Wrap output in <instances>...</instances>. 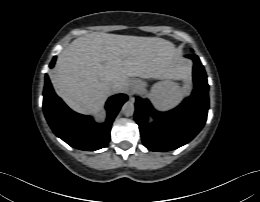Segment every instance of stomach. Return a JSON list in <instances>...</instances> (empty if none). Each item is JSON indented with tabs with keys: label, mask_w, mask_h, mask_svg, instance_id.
<instances>
[{
	"label": "stomach",
	"mask_w": 260,
	"mask_h": 202,
	"mask_svg": "<svg viewBox=\"0 0 260 202\" xmlns=\"http://www.w3.org/2000/svg\"><path fill=\"white\" fill-rule=\"evenodd\" d=\"M140 84H141V88H140V89H141L142 91H145V89H146V84H145V83H140Z\"/></svg>",
	"instance_id": "stomach-1"
}]
</instances>
